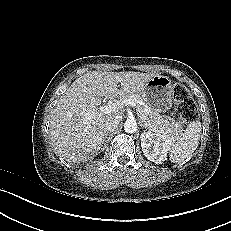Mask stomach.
<instances>
[{
    "mask_svg": "<svg viewBox=\"0 0 231 231\" xmlns=\"http://www.w3.org/2000/svg\"><path fill=\"white\" fill-rule=\"evenodd\" d=\"M139 95L151 109L166 112L173 104L174 85L169 77L156 75L146 83Z\"/></svg>",
    "mask_w": 231,
    "mask_h": 231,
    "instance_id": "stomach-1",
    "label": "stomach"
}]
</instances>
